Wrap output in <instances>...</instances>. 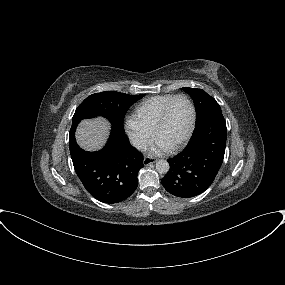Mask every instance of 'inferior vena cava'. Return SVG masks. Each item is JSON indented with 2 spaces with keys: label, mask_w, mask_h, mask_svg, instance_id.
Masks as SVG:
<instances>
[{
  "label": "inferior vena cava",
  "mask_w": 285,
  "mask_h": 285,
  "mask_svg": "<svg viewBox=\"0 0 285 285\" xmlns=\"http://www.w3.org/2000/svg\"><path fill=\"white\" fill-rule=\"evenodd\" d=\"M132 144L135 148L142 150V151H146L148 148L147 142L143 139H134L132 141Z\"/></svg>",
  "instance_id": "1"
}]
</instances>
